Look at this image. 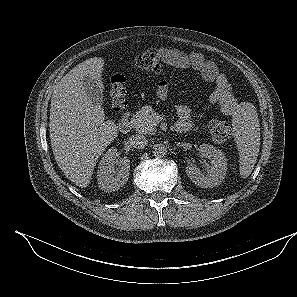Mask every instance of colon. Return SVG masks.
I'll return each instance as SVG.
<instances>
[{
    "mask_svg": "<svg viewBox=\"0 0 297 297\" xmlns=\"http://www.w3.org/2000/svg\"><path fill=\"white\" fill-rule=\"evenodd\" d=\"M135 65L142 70L158 73L162 69V61L156 50H147L138 54L134 59ZM110 100L116 112L122 111L126 106V86L122 75H114L109 86ZM209 132L218 142L227 141L232 134V129L225 121L214 118L209 123Z\"/></svg>",
    "mask_w": 297,
    "mask_h": 297,
    "instance_id": "1",
    "label": "colon"
}]
</instances>
